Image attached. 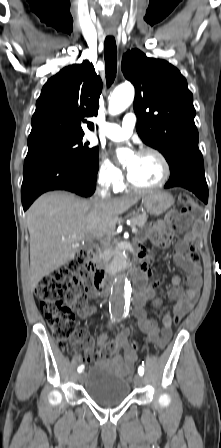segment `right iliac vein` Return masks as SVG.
Here are the masks:
<instances>
[{
    "label": "right iliac vein",
    "instance_id": "1",
    "mask_svg": "<svg viewBox=\"0 0 221 448\" xmlns=\"http://www.w3.org/2000/svg\"><path fill=\"white\" fill-rule=\"evenodd\" d=\"M84 375H85V373H84V372H82V373L78 374V379H79V381H80V382H82V381H83Z\"/></svg>",
    "mask_w": 221,
    "mask_h": 448
}]
</instances>
